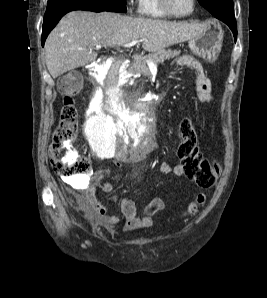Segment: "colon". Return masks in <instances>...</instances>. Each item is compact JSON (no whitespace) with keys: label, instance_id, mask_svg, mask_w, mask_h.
<instances>
[{"label":"colon","instance_id":"colon-1","mask_svg":"<svg viewBox=\"0 0 267 298\" xmlns=\"http://www.w3.org/2000/svg\"><path fill=\"white\" fill-rule=\"evenodd\" d=\"M63 98L60 120L53 134L51 164L61 177L80 180L89 173L90 163L84 156L67 157L66 150L76 137L78 113L73 98L81 89V77L77 73H67L58 82ZM180 144L178 155L186 176L203 188L212 186L219 173L216 161L204 157L200 151L197 133L189 118H182L178 124ZM205 195L200 193L185 211V216L195 215L204 203Z\"/></svg>","mask_w":267,"mask_h":298}]
</instances>
